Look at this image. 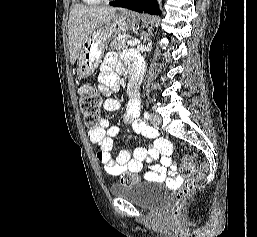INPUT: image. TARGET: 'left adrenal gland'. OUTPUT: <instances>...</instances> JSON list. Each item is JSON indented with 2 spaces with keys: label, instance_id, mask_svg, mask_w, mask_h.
I'll return each mask as SVG.
<instances>
[{
  "label": "left adrenal gland",
  "instance_id": "obj_1",
  "mask_svg": "<svg viewBox=\"0 0 257 237\" xmlns=\"http://www.w3.org/2000/svg\"><path fill=\"white\" fill-rule=\"evenodd\" d=\"M147 34H144V36H142V38L141 39H143L144 38V41H146L147 40Z\"/></svg>",
  "mask_w": 257,
  "mask_h": 237
}]
</instances>
